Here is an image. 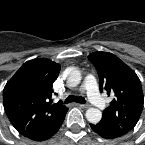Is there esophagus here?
<instances>
[{
  "label": "esophagus",
  "instance_id": "1",
  "mask_svg": "<svg viewBox=\"0 0 145 145\" xmlns=\"http://www.w3.org/2000/svg\"><path fill=\"white\" fill-rule=\"evenodd\" d=\"M75 106H78V107H80V108H83V109H87V108H89V105L88 104H74Z\"/></svg>",
  "mask_w": 145,
  "mask_h": 145
}]
</instances>
